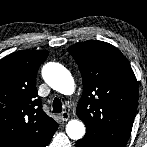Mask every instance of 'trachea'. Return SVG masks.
<instances>
[{
	"label": "trachea",
	"mask_w": 147,
	"mask_h": 147,
	"mask_svg": "<svg viewBox=\"0 0 147 147\" xmlns=\"http://www.w3.org/2000/svg\"><path fill=\"white\" fill-rule=\"evenodd\" d=\"M62 111V103L58 98L53 101V113H60Z\"/></svg>",
	"instance_id": "1"
}]
</instances>
